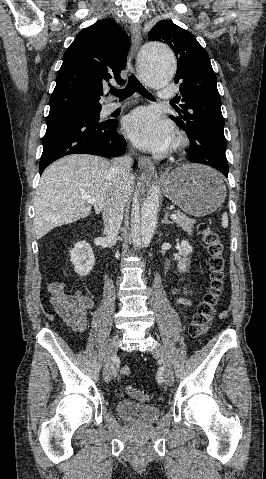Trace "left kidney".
Wrapping results in <instances>:
<instances>
[{"mask_svg": "<svg viewBox=\"0 0 266 479\" xmlns=\"http://www.w3.org/2000/svg\"><path fill=\"white\" fill-rule=\"evenodd\" d=\"M178 251H179V254L181 256H188L192 253L193 249H192V246L189 244V242L187 240H182L181 241V245L180 247L178 248ZM178 269L180 272H185L186 269H187V266L184 265V264H180L178 265Z\"/></svg>", "mask_w": 266, "mask_h": 479, "instance_id": "obj_1", "label": "left kidney"}]
</instances>
